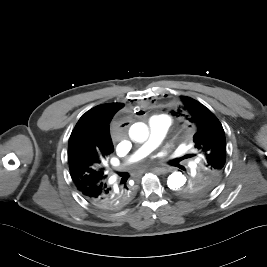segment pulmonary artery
I'll return each instance as SVG.
<instances>
[{"mask_svg": "<svg viewBox=\"0 0 267 267\" xmlns=\"http://www.w3.org/2000/svg\"><path fill=\"white\" fill-rule=\"evenodd\" d=\"M149 135L144 144L130 157L129 161H136L157 148L170 128V118L167 115L160 114L150 119L148 123Z\"/></svg>", "mask_w": 267, "mask_h": 267, "instance_id": "obj_1", "label": "pulmonary artery"}]
</instances>
